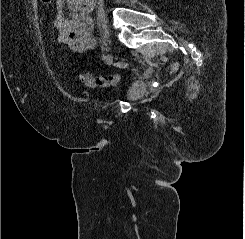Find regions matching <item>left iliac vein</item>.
Wrapping results in <instances>:
<instances>
[{
	"label": "left iliac vein",
	"instance_id": "4c4485c4",
	"mask_svg": "<svg viewBox=\"0 0 245 239\" xmlns=\"http://www.w3.org/2000/svg\"><path fill=\"white\" fill-rule=\"evenodd\" d=\"M113 62V55L111 53H109L107 56H106V63L108 65H111Z\"/></svg>",
	"mask_w": 245,
	"mask_h": 239
}]
</instances>
